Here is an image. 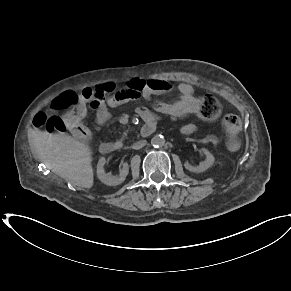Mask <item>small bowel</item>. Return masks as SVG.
<instances>
[{"label":"small bowel","instance_id":"1","mask_svg":"<svg viewBox=\"0 0 291 291\" xmlns=\"http://www.w3.org/2000/svg\"><path fill=\"white\" fill-rule=\"evenodd\" d=\"M172 89V85L164 79H143L139 77L131 78L124 89L116 90L114 95L105 97L101 101H96L90 104L96 112V122L98 124H105L110 119V108H115L128 101L137 99L139 97L150 98L155 94H163ZM179 98H196L194 96L193 88L188 83H181L178 85ZM178 100V99H177ZM177 100L171 103L159 102L156 105L158 112L167 114L174 118H183L192 114L190 107H178ZM158 112H150L146 107H139L137 113L144 119H151L156 121L160 114ZM196 126L192 123L186 124L182 127L183 134H190L194 132Z\"/></svg>","mask_w":291,"mask_h":291}]
</instances>
